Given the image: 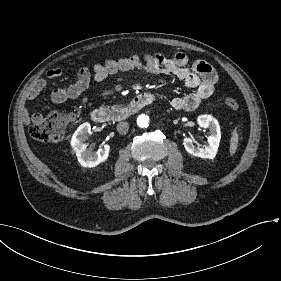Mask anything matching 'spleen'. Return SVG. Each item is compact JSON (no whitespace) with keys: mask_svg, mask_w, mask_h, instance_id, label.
<instances>
[{"mask_svg":"<svg viewBox=\"0 0 281 281\" xmlns=\"http://www.w3.org/2000/svg\"><path fill=\"white\" fill-rule=\"evenodd\" d=\"M238 141H239V136L236 130H234L232 132V136H231V140H230V155H234L236 150H237V146H238Z\"/></svg>","mask_w":281,"mask_h":281,"instance_id":"obj_1","label":"spleen"}]
</instances>
